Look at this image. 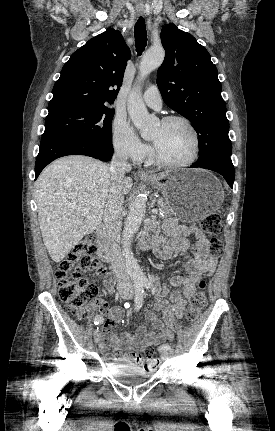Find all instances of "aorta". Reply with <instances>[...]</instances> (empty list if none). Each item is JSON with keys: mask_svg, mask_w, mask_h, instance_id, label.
I'll return each instance as SVG.
<instances>
[{"mask_svg": "<svg viewBox=\"0 0 275 431\" xmlns=\"http://www.w3.org/2000/svg\"><path fill=\"white\" fill-rule=\"evenodd\" d=\"M164 56L165 52L162 47L150 48L144 54L140 63V81L162 64ZM127 109L135 127L139 129L142 136H146L156 124V119L149 115L138 89L130 94ZM145 209L146 200L143 196L138 195L130 205L122 234V253L125 267L136 284L144 282L145 276L131 251V239L141 225L145 216Z\"/></svg>", "mask_w": 275, "mask_h": 431, "instance_id": "762f6f07", "label": "aorta"}]
</instances>
